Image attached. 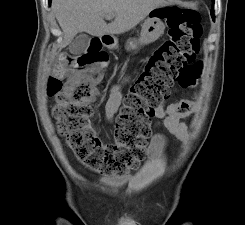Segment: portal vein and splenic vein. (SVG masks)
<instances>
[{
	"mask_svg": "<svg viewBox=\"0 0 245 225\" xmlns=\"http://www.w3.org/2000/svg\"><path fill=\"white\" fill-rule=\"evenodd\" d=\"M114 17H115L114 14H107V15L105 16L106 19H112V18H114Z\"/></svg>",
	"mask_w": 245,
	"mask_h": 225,
	"instance_id": "1",
	"label": "portal vein and splenic vein"
}]
</instances>
